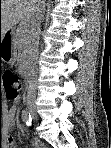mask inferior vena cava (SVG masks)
Returning <instances> with one entry per match:
<instances>
[{
    "label": "inferior vena cava",
    "instance_id": "602c4592",
    "mask_svg": "<svg viewBox=\"0 0 111 148\" xmlns=\"http://www.w3.org/2000/svg\"><path fill=\"white\" fill-rule=\"evenodd\" d=\"M45 10V0H38L37 7L30 20V56L32 62V72L27 88V100L33 101L36 98V67L39 54V41L41 22L43 20V13Z\"/></svg>",
    "mask_w": 111,
    "mask_h": 148
}]
</instances>
